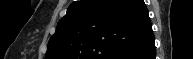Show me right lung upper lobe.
<instances>
[{"label": "right lung upper lobe", "instance_id": "obj_1", "mask_svg": "<svg viewBox=\"0 0 193 59\" xmlns=\"http://www.w3.org/2000/svg\"><path fill=\"white\" fill-rule=\"evenodd\" d=\"M151 34L143 0L75 1L58 22L45 59H119Z\"/></svg>", "mask_w": 193, "mask_h": 59}]
</instances>
